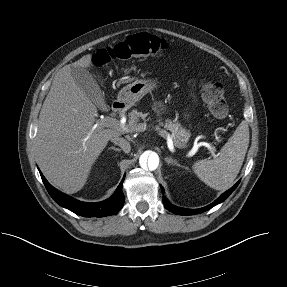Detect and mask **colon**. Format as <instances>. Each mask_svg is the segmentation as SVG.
Segmentation results:
<instances>
[{
	"label": "colon",
	"instance_id": "colon-1",
	"mask_svg": "<svg viewBox=\"0 0 287 287\" xmlns=\"http://www.w3.org/2000/svg\"><path fill=\"white\" fill-rule=\"evenodd\" d=\"M166 47L165 40L157 36L137 33L114 46L100 49L94 56V62L97 65H105L113 60L157 55ZM202 96L214 116L218 118L226 116L228 108L223 87L219 82L206 80L202 86Z\"/></svg>",
	"mask_w": 287,
	"mask_h": 287
}]
</instances>
